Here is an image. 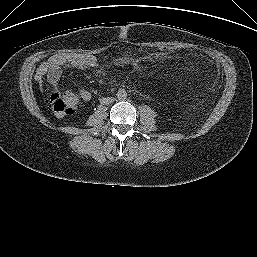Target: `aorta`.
<instances>
[{
	"instance_id": "762f6f07",
	"label": "aorta",
	"mask_w": 257,
	"mask_h": 257,
	"mask_svg": "<svg viewBox=\"0 0 257 257\" xmlns=\"http://www.w3.org/2000/svg\"><path fill=\"white\" fill-rule=\"evenodd\" d=\"M127 91L125 89H119L117 92V98L119 100H126L127 99Z\"/></svg>"
}]
</instances>
